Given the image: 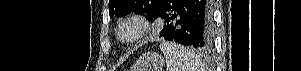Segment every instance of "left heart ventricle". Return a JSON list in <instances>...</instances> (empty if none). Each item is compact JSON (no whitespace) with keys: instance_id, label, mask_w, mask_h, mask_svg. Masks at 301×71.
<instances>
[{"instance_id":"b2bd125f","label":"left heart ventricle","mask_w":301,"mask_h":71,"mask_svg":"<svg viewBox=\"0 0 301 71\" xmlns=\"http://www.w3.org/2000/svg\"><path fill=\"white\" fill-rule=\"evenodd\" d=\"M131 33V29H126L125 31H124V34L125 35H129Z\"/></svg>"}]
</instances>
